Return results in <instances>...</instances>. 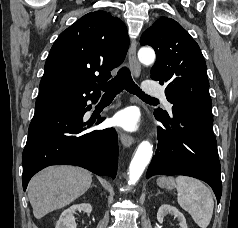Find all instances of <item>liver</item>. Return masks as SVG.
I'll list each match as a JSON object with an SVG mask.
<instances>
[{
  "label": "liver",
  "mask_w": 238,
  "mask_h": 228,
  "mask_svg": "<svg viewBox=\"0 0 238 228\" xmlns=\"http://www.w3.org/2000/svg\"><path fill=\"white\" fill-rule=\"evenodd\" d=\"M92 174L73 166H52L35 175L28 184V197L36 219L61 209L91 186Z\"/></svg>",
  "instance_id": "obj_1"
}]
</instances>
